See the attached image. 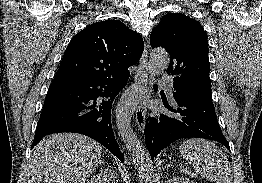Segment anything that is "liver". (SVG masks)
<instances>
[{
    "instance_id": "1",
    "label": "liver",
    "mask_w": 262,
    "mask_h": 183,
    "mask_svg": "<svg viewBox=\"0 0 262 183\" xmlns=\"http://www.w3.org/2000/svg\"><path fill=\"white\" fill-rule=\"evenodd\" d=\"M101 153L102 146L84 135L52 134L35 147L28 183H85Z\"/></svg>"
}]
</instances>
